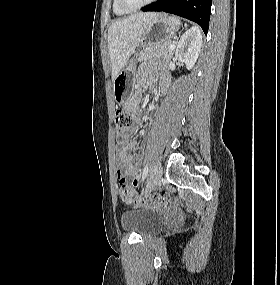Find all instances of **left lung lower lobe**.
Instances as JSON below:
<instances>
[{
    "instance_id": "left-lung-lower-lobe-1",
    "label": "left lung lower lobe",
    "mask_w": 280,
    "mask_h": 285,
    "mask_svg": "<svg viewBox=\"0 0 280 285\" xmlns=\"http://www.w3.org/2000/svg\"><path fill=\"white\" fill-rule=\"evenodd\" d=\"M211 4L212 0H158L142 11H164L187 18L199 24L207 34Z\"/></svg>"
}]
</instances>
